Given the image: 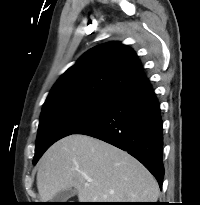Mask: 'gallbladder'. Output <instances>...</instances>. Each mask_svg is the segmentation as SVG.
Segmentation results:
<instances>
[{
    "instance_id": "1",
    "label": "gallbladder",
    "mask_w": 200,
    "mask_h": 205,
    "mask_svg": "<svg viewBox=\"0 0 200 205\" xmlns=\"http://www.w3.org/2000/svg\"><path fill=\"white\" fill-rule=\"evenodd\" d=\"M76 191L73 188L62 190L58 192L53 200L54 202H66L69 198L75 196Z\"/></svg>"
}]
</instances>
